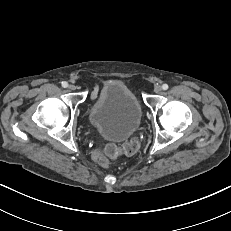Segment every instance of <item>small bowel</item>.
<instances>
[{
	"label": "small bowel",
	"instance_id": "small-bowel-1",
	"mask_svg": "<svg viewBox=\"0 0 231 231\" xmlns=\"http://www.w3.org/2000/svg\"><path fill=\"white\" fill-rule=\"evenodd\" d=\"M96 95H97V89L95 88V89L92 91V93H91V97H92V98H95Z\"/></svg>",
	"mask_w": 231,
	"mask_h": 231
}]
</instances>
